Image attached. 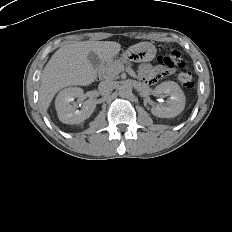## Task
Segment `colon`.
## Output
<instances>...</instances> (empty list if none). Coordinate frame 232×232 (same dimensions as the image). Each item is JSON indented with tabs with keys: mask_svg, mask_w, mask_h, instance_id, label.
Wrapping results in <instances>:
<instances>
[{
	"mask_svg": "<svg viewBox=\"0 0 232 232\" xmlns=\"http://www.w3.org/2000/svg\"><path fill=\"white\" fill-rule=\"evenodd\" d=\"M158 67L173 68L179 81L186 88L193 87V77L191 72L185 70V61L181 53L177 50H170L164 55L158 57ZM157 67V68H158Z\"/></svg>",
	"mask_w": 232,
	"mask_h": 232,
	"instance_id": "1",
	"label": "colon"
}]
</instances>
